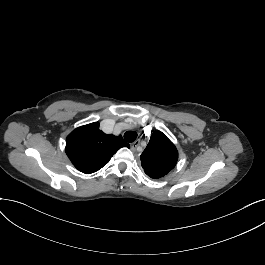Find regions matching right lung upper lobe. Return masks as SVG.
Listing matches in <instances>:
<instances>
[{"label": "right lung upper lobe", "instance_id": "1", "mask_svg": "<svg viewBox=\"0 0 265 265\" xmlns=\"http://www.w3.org/2000/svg\"><path fill=\"white\" fill-rule=\"evenodd\" d=\"M129 147L122 136L105 134L94 122L72 131L66 140V153L73 165L81 172L90 174L105 166L121 148Z\"/></svg>", "mask_w": 265, "mask_h": 265}]
</instances>
